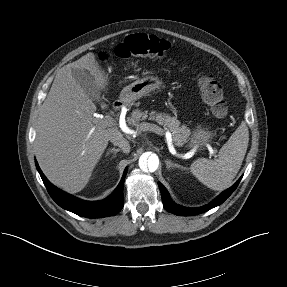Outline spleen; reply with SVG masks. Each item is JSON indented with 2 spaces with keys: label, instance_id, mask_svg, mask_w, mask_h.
Returning <instances> with one entry per match:
<instances>
[{
  "label": "spleen",
  "instance_id": "1",
  "mask_svg": "<svg viewBox=\"0 0 287 287\" xmlns=\"http://www.w3.org/2000/svg\"><path fill=\"white\" fill-rule=\"evenodd\" d=\"M248 143V127L242 121L220 149L218 158L195 160L190 166L191 173L210 189L220 191L228 188L241 168Z\"/></svg>",
  "mask_w": 287,
  "mask_h": 287
}]
</instances>
